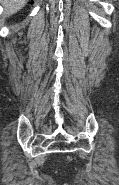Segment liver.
Here are the masks:
<instances>
[{"label": "liver", "mask_w": 119, "mask_h": 185, "mask_svg": "<svg viewBox=\"0 0 119 185\" xmlns=\"http://www.w3.org/2000/svg\"><path fill=\"white\" fill-rule=\"evenodd\" d=\"M28 0H0L5 8V15H11L22 9Z\"/></svg>", "instance_id": "6515ba94"}]
</instances>
